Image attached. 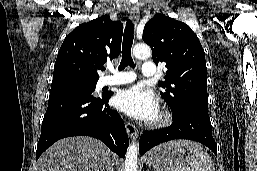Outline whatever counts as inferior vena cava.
Segmentation results:
<instances>
[{
    "label": "inferior vena cava",
    "mask_w": 257,
    "mask_h": 171,
    "mask_svg": "<svg viewBox=\"0 0 257 171\" xmlns=\"http://www.w3.org/2000/svg\"><path fill=\"white\" fill-rule=\"evenodd\" d=\"M106 171H113V170H111V167L108 166Z\"/></svg>",
    "instance_id": "inferior-vena-cava-1"
}]
</instances>
